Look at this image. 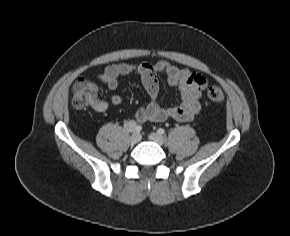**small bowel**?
<instances>
[{"instance_id":"obj_1","label":"small bowel","mask_w":290,"mask_h":236,"mask_svg":"<svg viewBox=\"0 0 290 236\" xmlns=\"http://www.w3.org/2000/svg\"><path fill=\"white\" fill-rule=\"evenodd\" d=\"M132 73H137L140 76L149 95L148 104L139 108L135 113L136 122H162L169 118L188 121L201 111L200 101L207 85V79L201 74L193 73L186 68H180L165 61L111 64L98 73L96 78L110 90H115L118 87L120 77ZM160 75L166 77L169 86L179 90L182 101L178 106L164 108L159 104L160 84L158 76ZM109 101L113 105H120L122 97L119 94H112ZM90 106L97 112H104L108 109L109 103L97 98Z\"/></svg>"}]
</instances>
